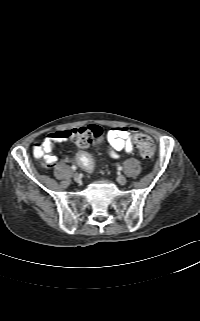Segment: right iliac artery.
<instances>
[{
    "label": "right iliac artery",
    "instance_id": "82829eb1",
    "mask_svg": "<svg viewBox=\"0 0 200 321\" xmlns=\"http://www.w3.org/2000/svg\"><path fill=\"white\" fill-rule=\"evenodd\" d=\"M71 168H72V170H74V171L77 169V167H76L75 165H73Z\"/></svg>",
    "mask_w": 200,
    "mask_h": 321
}]
</instances>
